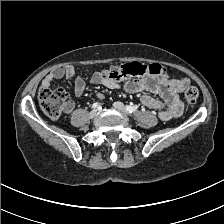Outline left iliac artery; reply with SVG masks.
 I'll return each mask as SVG.
<instances>
[{"label":"left iliac artery","mask_w":224,"mask_h":224,"mask_svg":"<svg viewBox=\"0 0 224 224\" xmlns=\"http://www.w3.org/2000/svg\"><path fill=\"white\" fill-rule=\"evenodd\" d=\"M138 106H131V105H127L126 106V110L129 112V113H133L137 110Z\"/></svg>","instance_id":"obj_1"}]
</instances>
